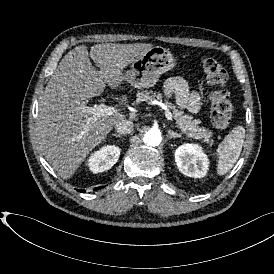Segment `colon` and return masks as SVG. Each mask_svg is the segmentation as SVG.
<instances>
[{"mask_svg": "<svg viewBox=\"0 0 274 274\" xmlns=\"http://www.w3.org/2000/svg\"><path fill=\"white\" fill-rule=\"evenodd\" d=\"M200 62L208 82L214 86L210 93V118L215 127L224 128L229 125L233 115L231 92L227 86L228 73L214 57L203 56Z\"/></svg>", "mask_w": 274, "mask_h": 274, "instance_id": "5ec220e1", "label": "colon"}]
</instances>
